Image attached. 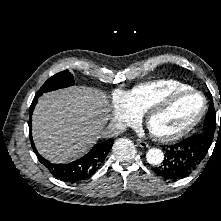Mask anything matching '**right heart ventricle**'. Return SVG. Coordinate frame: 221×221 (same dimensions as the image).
Wrapping results in <instances>:
<instances>
[{
	"instance_id": "obj_1",
	"label": "right heart ventricle",
	"mask_w": 221,
	"mask_h": 221,
	"mask_svg": "<svg viewBox=\"0 0 221 221\" xmlns=\"http://www.w3.org/2000/svg\"><path fill=\"white\" fill-rule=\"evenodd\" d=\"M191 88L188 84L174 79H160L143 82L125 92L130 108L138 115H143L156 100L175 91Z\"/></svg>"
}]
</instances>
